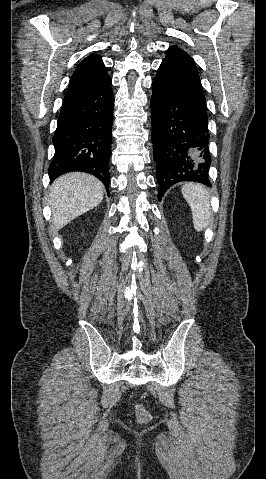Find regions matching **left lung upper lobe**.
<instances>
[{
    "mask_svg": "<svg viewBox=\"0 0 266 479\" xmlns=\"http://www.w3.org/2000/svg\"><path fill=\"white\" fill-rule=\"evenodd\" d=\"M163 62H167L181 71L200 79L194 60L182 49L171 46Z\"/></svg>",
    "mask_w": 266,
    "mask_h": 479,
    "instance_id": "left-lung-upper-lobe-1",
    "label": "left lung upper lobe"
}]
</instances>
